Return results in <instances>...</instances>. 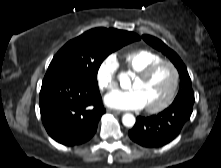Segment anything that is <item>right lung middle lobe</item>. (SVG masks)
Instances as JSON below:
<instances>
[{"instance_id": "dd1d6c3e", "label": "right lung middle lobe", "mask_w": 221, "mask_h": 168, "mask_svg": "<svg viewBox=\"0 0 221 168\" xmlns=\"http://www.w3.org/2000/svg\"><path fill=\"white\" fill-rule=\"evenodd\" d=\"M139 40L138 35L106 28L91 29L66 43L54 56L47 73L84 78L93 85L103 60L122 46Z\"/></svg>"}]
</instances>
